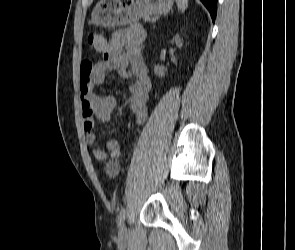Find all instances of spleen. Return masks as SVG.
Returning <instances> with one entry per match:
<instances>
[{
	"instance_id": "spleen-1",
	"label": "spleen",
	"mask_w": 295,
	"mask_h": 250,
	"mask_svg": "<svg viewBox=\"0 0 295 250\" xmlns=\"http://www.w3.org/2000/svg\"><path fill=\"white\" fill-rule=\"evenodd\" d=\"M177 7L180 11L184 12L188 7V0H176Z\"/></svg>"
}]
</instances>
